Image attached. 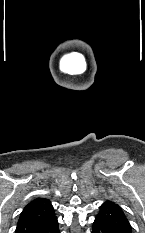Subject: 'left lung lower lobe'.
I'll list each match as a JSON object with an SVG mask.
<instances>
[{
  "label": "left lung lower lobe",
  "instance_id": "obj_1",
  "mask_svg": "<svg viewBox=\"0 0 145 233\" xmlns=\"http://www.w3.org/2000/svg\"><path fill=\"white\" fill-rule=\"evenodd\" d=\"M92 233H114V232L108 229L100 222L95 220L93 223Z\"/></svg>",
  "mask_w": 145,
  "mask_h": 233
}]
</instances>
